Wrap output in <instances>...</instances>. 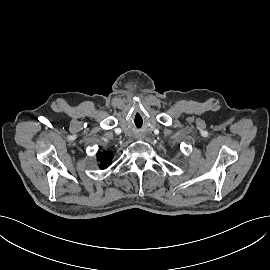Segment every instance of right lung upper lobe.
<instances>
[{
  "mask_svg": "<svg viewBox=\"0 0 270 270\" xmlns=\"http://www.w3.org/2000/svg\"><path fill=\"white\" fill-rule=\"evenodd\" d=\"M97 158L99 161V167L101 169H105L107 168L111 162H112V158H113V154L111 152H98L97 153Z\"/></svg>",
  "mask_w": 270,
  "mask_h": 270,
  "instance_id": "obj_1",
  "label": "right lung upper lobe"
}]
</instances>
